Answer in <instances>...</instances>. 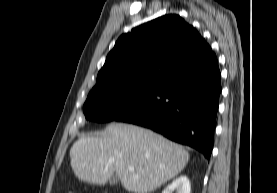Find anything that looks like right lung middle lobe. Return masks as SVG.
Returning a JSON list of instances; mask_svg holds the SVG:
<instances>
[{"instance_id": "1", "label": "right lung middle lobe", "mask_w": 277, "mask_h": 193, "mask_svg": "<svg viewBox=\"0 0 277 193\" xmlns=\"http://www.w3.org/2000/svg\"><path fill=\"white\" fill-rule=\"evenodd\" d=\"M156 90V87L126 86L90 92L83 106V112L87 120L118 121L122 116L146 102Z\"/></svg>"}]
</instances>
